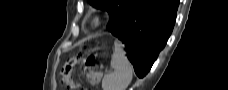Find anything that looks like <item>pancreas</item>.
Listing matches in <instances>:
<instances>
[{
    "mask_svg": "<svg viewBox=\"0 0 228 90\" xmlns=\"http://www.w3.org/2000/svg\"><path fill=\"white\" fill-rule=\"evenodd\" d=\"M97 82H98V79L96 80L95 78H92V79L90 80V83L93 84V85H94L95 83H97Z\"/></svg>",
    "mask_w": 228,
    "mask_h": 90,
    "instance_id": "pancreas-1",
    "label": "pancreas"
}]
</instances>
